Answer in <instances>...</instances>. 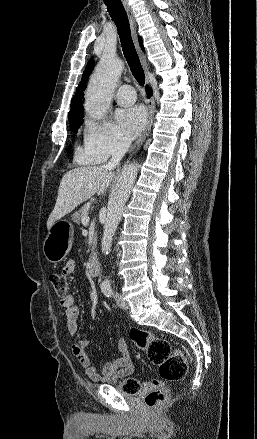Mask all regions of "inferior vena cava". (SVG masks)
Listing matches in <instances>:
<instances>
[{"instance_id": "obj_1", "label": "inferior vena cava", "mask_w": 257, "mask_h": 439, "mask_svg": "<svg viewBox=\"0 0 257 439\" xmlns=\"http://www.w3.org/2000/svg\"><path fill=\"white\" fill-rule=\"evenodd\" d=\"M131 141L127 138H119L113 146L111 159L108 164L105 165L107 169H113L118 165L125 153L130 147Z\"/></svg>"}]
</instances>
